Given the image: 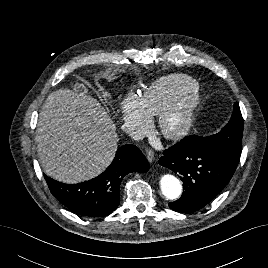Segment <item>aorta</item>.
<instances>
[{
	"mask_svg": "<svg viewBox=\"0 0 268 268\" xmlns=\"http://www.w3.org/2000/svg\"><path fill=\"white\" fill-rule=\"evenodd\" d=\"M162 194L169 200H175L182 193V185L178 178L171 174H165L160 179Z\"/></svg>",
	"mask_w": 268,
	"mask_h": 268,
	"instance_id": "762f6f07",
	"label": "aorta"
}]
</instances>
